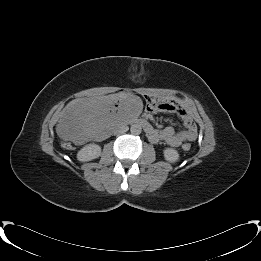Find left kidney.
I'll return each mask as SVG.
<instances>
[{"label":"left kidney","mask_w":261,"mask_h":261,"mask_svg":"<svg viewBox=\"0 0 261 261\" xmlns=\"http://www.w3.org/2000/svg\"><path fill=\"white\" fill-rule=\"evenodd\" d=\"M164 158L170 163H175L179 160L178 151L173 148H165L163 150Z\"/></svg>","instance_id":"1"}]
</instances>
